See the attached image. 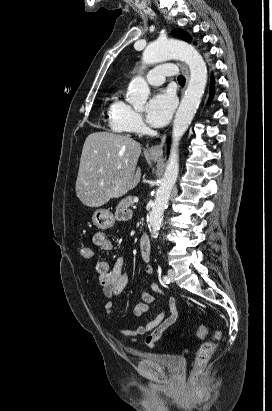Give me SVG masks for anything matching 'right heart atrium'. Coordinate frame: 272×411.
Segmentation results:
<instances>
[{
  "label": "right heart atrium",
  "instance_id": "d8ad5b80",
  "mask_svg": "<svg viewBox=\"0 0 272 411\" xmlns=\"http://www.w3.org/2000/svg\"><path fill=\"white\" fill-rule=\"evenodd\" d=\"M126 122L131 132H139L144 127L142 116L131 107L126 114Z\"/></svg>",
  "mask_w": 272,
  "mask_h": 411
}]
</instances>
